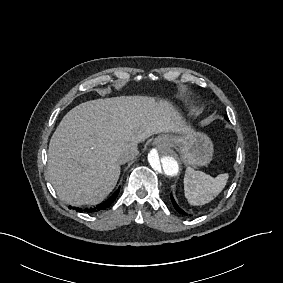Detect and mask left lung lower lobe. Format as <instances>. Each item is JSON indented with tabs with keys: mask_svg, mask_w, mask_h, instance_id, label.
Instances as JSON below:
<instances>
[{
	"mask_svg": "<svg viewBox=\"0 0 283 283\" xmlns=\"http://www.w3.org/2000/svg\"><path fill=\"white\" fill-rule=\"evenodd\" d=\"M171 201H172V203H173L175 209H176L179 213L184 214L183 210H181V209L178 207V205L176 204V202H175V200L173 199L172 196H171Z\"/></svg>",
	"mask_w": 283,
	"mask_h": 283,
	"instance_id": "1",
	"label": "left lung lower lobe"
}]
</instances>
